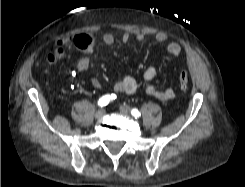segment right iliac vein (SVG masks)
<instances>
[{
	"label": "right iliac vein",
	"mask_w": 245,
	"mask_h": 187,
	"mask_svg": "<svg viewBox=\"0 0 245 187\" xmlns=\"http://www.w3.org/2000/svg\"><path fill=\"white\" fill-rule=\"evenodd\" d=\"M105 114V110L104 109H99L96 113H95V118L96 119H100L104 116Z\"/></svg>",
	"instance_id": "obj_1"
}]
</instances>
